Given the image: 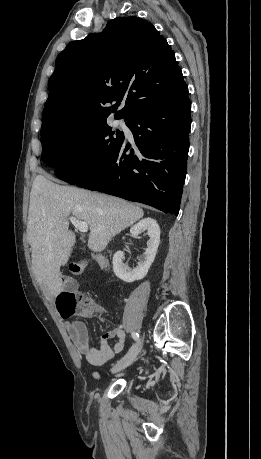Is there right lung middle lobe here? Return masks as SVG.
Returning a JSON list of instances; mask_svg holds the SVG:
<instances>
[{
	"mask_svg": "<svg viewBox=\"0 0 261 459\" xmlns=\"http://www.w3.org/2000/svg\"><path fill=\"white\" fill-rule=\"evenodd\" d=\"M123 140L124 133L112 131L106 120L57 126L41 132V158L59 179L71 182L107 160Z\"/></svg>",
	"mask_w": 261,
	"mask_h": 459,
	"instance_id": "1",
	"label": "right lung middle lobe"
}]
</instances>
